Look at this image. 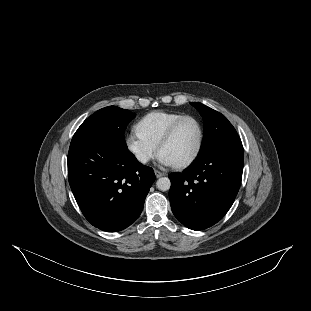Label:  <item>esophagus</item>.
Instances as JSON below:
<instances>
[{
  "instance_id": "1",
  "label": "esophagus",
  "mask_w": 311,
  "mask_h": 311,
  "mask_svg": "<svg viewBox=\"0 0 311 311\" xmlns=\"http://www.w3.org/2000/svg\"><path fill=\"white\" fill-rule=\"evenodd\" d=\"M154 174L156 176V178H160L161 176H164V173H162L161 171L154 169Z\"/></svg>"
}]
</instances>
